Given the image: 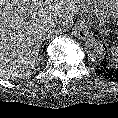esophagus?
<instances>
[{"label":"esophagus","instance_id":"obj_1","mask_svg":"<svg viewBox=\"0 0 118 118\" xmlns=\"http://www.w3.org/2000/svg\"><path fill=\"white\" fill-rule=\"evenodd\" d=\"M73 33L80 40H87L90 37L89 32L87 31L84 22L76 23L74 28H73Z\"/></svg>","mask_w":118,"mask_h":118}]
</instances>
